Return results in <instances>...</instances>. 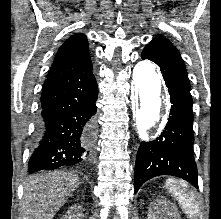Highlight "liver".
Listing matches in <instances>:
<instances>
[{
	"instance_id": "1",
	"label": "liver",
	"mask_w": 221,
	"mask_h": 219,
	"mask_svg": "<svg viewBox=\"0 0 221 219\" xmlns=\"http://www.w3.org/2000/svg\"><path fill=\"white\" fill-rule=\"evenodd\" d=\"M79 184L76 174L63 171L29 178L24 186L22 219H53Z\"/></svg>"
}]
</instances>
